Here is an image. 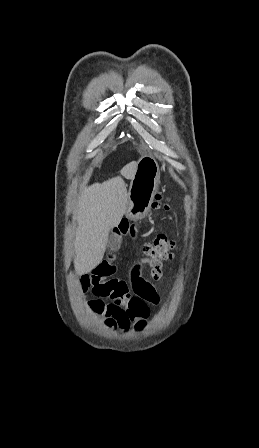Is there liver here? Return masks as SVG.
Masks as SVG:
<instances>
[{"label":"liver","instance_id":"6515ba94","mask_svg":"<svg viewBox=\"0 0 259 448\" xmlns=\"http://www.w3.org/2000/svg\"><path fill=\"white\" fill-rule=\"evenodd\" d=\"M137 164L122 170L126 178H134ZM128 194L124 180L112 178L103 184H93L83 190L73 220L78 222L74 248V268L78 276L88 274L103 260L108 236L126 214Z\"/></svg>","mask_w":259,"mask_h":448}]
</instances>
